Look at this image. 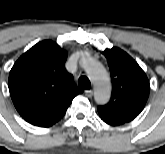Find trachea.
Here are the masks:
<instances>
[{"mask_svg":"<svg viewBox=\"0 0 165 154\" xmlns=\"http://www.w3.org/2000/svg\"><path fill=\"white\" fill-rule=\"evenodd\" d=\"M78 87L81 88V89L89 90L91 88V83H90L89 79L86 76H82L78 80Z\"/></svg>","mask_w":165,"mask_h":154,"instance_id":"trachea-1","label":"trachea"}]
</instances>
